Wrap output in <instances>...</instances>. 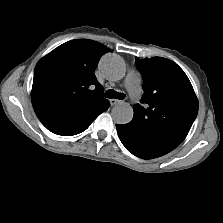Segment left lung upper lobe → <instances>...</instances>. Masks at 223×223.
I'll use <instances>...</instances> for the list:
<instances>
[{
	"instance_id": "left-lung-upper-lobe-1",
	"label": "left lung upper lobe",
	"mask_w": 223,
	"mask_h": 223,
	"mask_svg": "<svg viewBox=\"0 0 223 223\" xmlns=\"http://www.w3.org/2000/svg\"><path fill=\"white\" fill-rule=\"evenodd\" d=\"M143 75L145 107L136 105L129 125L140 140L172 151L187 136L198 113V100L184 71L162 57L136 61Z\"/></svg>"
}]
</instances>
